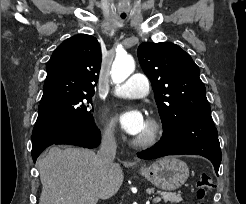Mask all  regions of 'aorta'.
Segmentation results:
<instances>
[{"label":"aorta","mask_w":246,"mask_h":204,"mask_svg":"<svg viewBox=\"0 0 246 204\" xmlns=\"http://www.w3.org/2000/svg\"><path fill=\"white\" fill-rule=\"evenodd\" d=\"M135 70V61L130 55L117 56L113 62L111 69V77L113 82L122 83Z\"/></svg>","instance_id":"obj_1"}]
</instances>
